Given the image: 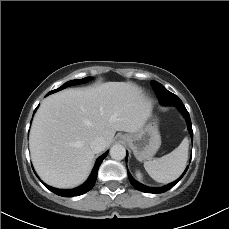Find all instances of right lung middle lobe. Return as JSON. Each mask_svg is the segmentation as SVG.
<instances>
[{
    "mask_svg": "<svg viewBox=\"0 0 229 229\" xmlns=\"http://www.w3.org/2000/svg\"><path fill=\"white\" fill-rule=\"evenodd\" d=\"M88 80H90V77L83 78V79H81V80H73V81L67 82V83H65L64 85H62L61 87H59L58 89L52 90V91L49 92L48 94H51V93L60 91V90H62V89H64V88L69 87V86H72V85L84 83V82H86V81H88Z\"/></svg>",
    "mask_w": 229,
    "mask_h": 229,
    "instance_id": "1",
    "label": "right lung middle lobe"
}]
</instances>
